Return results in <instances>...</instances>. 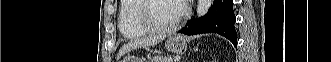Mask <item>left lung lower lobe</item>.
<instances>
[{"label": "left lung lower lobe", "instance_id": "left-lung-lower-lobe-1", "mask_svg": "<svg viewBox=\"0 0 331 62\" xmlns=\"http://www.w3.org/2000/svg\"><path fill=\"white\" fill-rule=\"evenodd\" d=\"M235 19L233 0H214L212 7L205 16L190 20L178 32L186 35L218 33L229 39L236 47Z\"/></svg>", "mask_w": 331, "mask_h": 62}]
</instances>
